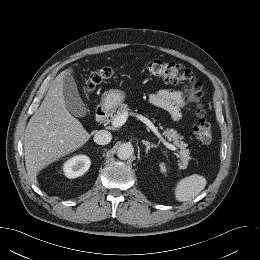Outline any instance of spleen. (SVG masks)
I'll use <instances>...</instances> for the list:
<instances>
[{
	"label": "spleen",
	"instance_id": "spleen-1",
	"mask_svg": "<svg viewBox=\"0 0 260 260\" xmlns=\"http://www.w3.org/2000/svg\"><path fill=\"white\" fill-rule=\"evenodd\" d=\"M206 183V179L198 174L181 179L175 188L176 200L185 202L193 199L205 188Z\"/></svg>",
	"mask_w": 260,
	"mask_h": 260
}]
</instances>
